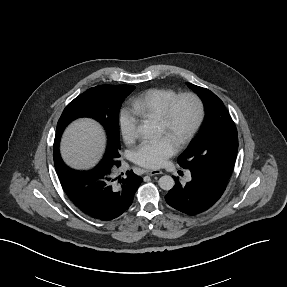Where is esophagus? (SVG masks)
<instances>
[{"instance_id": "1", "label": "esophagus", "mask_w": 287, "mask_h": 287, "mask_svg": "<svg viewBox=\"0 0 287 287\" xmlns=\"http://www.w3.org/2000/svg\"><path fill=\"white\" fill-rule=\"evenodd\" d=\"M145 173L150 176L163 174L161 170H146Z\"/></svg>"}]
</instances>
